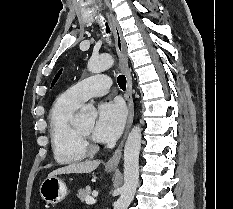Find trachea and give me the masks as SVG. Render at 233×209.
<instances>
[{"mask_svg":"<svg viewBox=\"0 0 233 209\" xmlns=\"http://www.w3.org/2000/svg\"><path fill=\"white\" fill-rule=\"evenodd\" d=\"M106 32H107V33H110V29H109V27H108L107 24H106ZM117 82H118L119 87H120L122 90H125V89H126V77H125L123 74H120V75L117 77Z\"/></svg>","mask_w":233,"mask_h":209,"instance_id":"1","label":"trachea"}]
</instances>
